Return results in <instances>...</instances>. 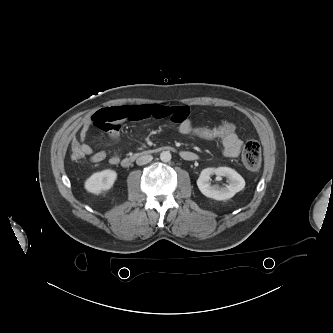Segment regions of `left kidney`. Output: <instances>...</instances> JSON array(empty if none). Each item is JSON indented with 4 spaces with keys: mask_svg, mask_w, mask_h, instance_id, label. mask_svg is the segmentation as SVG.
<instances>
[{
    "mask_svg": "<svg viewBox=\"0 0 333 333\" xmlns=\"http://www.w3.org/2000/svg\"><path fill=\"white\" fill-rule=\"evenodd\" d=\"M213 173L218 176L227 177L229 185L226 187L211 185L209 180L210 175ZM197 186L201 193L206 197L213 198L215 200H227L232 198L237 192L241 191L245 187V181L240 174L231 168H206L202 170L197 180Z\"/></svg>",
    "mask_w": 333,
    "mask_h": 333,
    "instance_id": "left-kidney-1",
    "label": "left kidney"
}]
</instances>
